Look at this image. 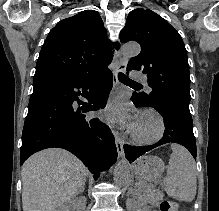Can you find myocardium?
I'll list each match as a JSON object with an SVG mask.
<instances>
[{"mask_svg":"<svg viewBox=\"0 0 219 211\" xmlns=\"http://www.w3.org/2000/svg\"><path fill=\"white\" fill-rule=\"evenodd\" d=\"M146 118H152L155 122L150 131H142L137 127L139 121ZM136 126L132 130V137L135 141L140 143H152L158 140L165 129V119L163 115L155 109H147L141 113Z\"/></svg>","mask_w":219,"mask_h":211,"instance_id":"1","label":"myocardium"}]
</instances>
